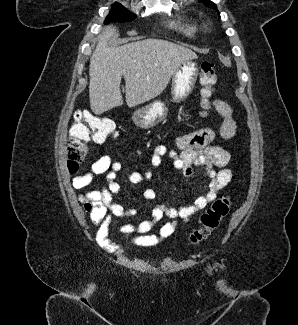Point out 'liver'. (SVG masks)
I'll use <instances>...</instances> for the list:
<instances>
[{"mask_svg": "<svg viewBox=\"0 0 298 325\" xmlns=\"http://www.w3.org/2000/svg\"><path fill=\"white\" fill-rule=\"evenodd\" d=\"M117 34L116 26L108 24L90 58L89 102L95 114L123 104L122 76L127 106H137L159 96L184 60L198 58L192 48L162 38L109 46L108 40Z\"/></svg>", "mask_w": 298, "mask_h": 325, "instance_id": "1", "label": "liver"}]
</instances>
